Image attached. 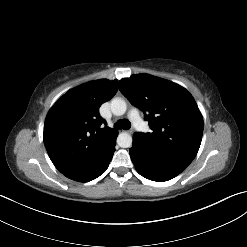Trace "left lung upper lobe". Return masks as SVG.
I'll return each instance as SVG.
<instances>
[{"instance_id":"1","label":"left lung upper lobe","mask_w":247,"mask_h":247,"mask_svg":"<svg viewBox=\"0 0 247 247\" xmlns=\"http://www.w3.org/2000/svg\"><path fill=\"white\" fill-rule=\"evenodd\" d=\"M121 93L144 113L151 133L136 132L142 141L163 157L188 166L202 140L203 119L192 95L171 81L149 74L119 81Z\"/></svg>"}]
</instances>
